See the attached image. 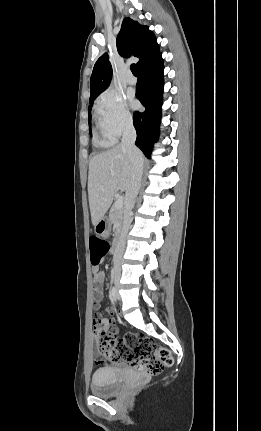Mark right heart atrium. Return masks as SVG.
<instances>
[{
  "instance_id": "obj_1",
  "label": "right heart atrium",
  "mask_w": 261,
  "mask_h": 431,
  "mask_svg": "<svg viewBox=\"0 0 261 431\" xmlns=\"http://www.w3.org/2000/svg\"><path fill=\"white\" fill-rule=\"evenodd\" d=\"M95 110L103 129L114 138L119 137L133 124L132 114L124 97L112 89L99 95Z\"/></svg>"
}]
</instances>
